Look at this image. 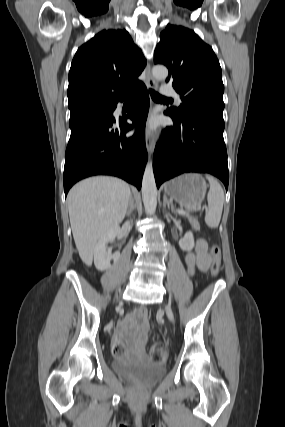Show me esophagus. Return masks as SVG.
Instances as JSON below:
<instances>
[{
    "instance_id": "1",
    "label": "esophagus",
    "mask_w": 285,
    "mask_h": 427,
    "mask_svg": "<svg viewBox=\"0 0 285 427\" xmlns=\"http://www.w3.org/2000/svg\"><path fill=\"white\" fill-rule=\"evenodd\" d=\"M145 74H146V84H147L148 88L156 89L158 85H157V82L155 81V79L153 78V76L151 74L150 64L147 65V67L145 69ZM145 139H146L147 151H148L149 155H151L154 151V148H155V139H154L153 132L148 127L146 129V138Z\"/></svg>"
}]
</instances>
